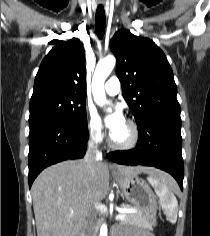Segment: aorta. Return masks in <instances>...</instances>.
Returning <instances> with one entry per match:
<instances>
[{
	"instance_id": "aorta-1",
	"label": "aorta",
	"mask_w": 210,
	"mask_h": 236,
	"mask_svg": "<svg viewBox=\"0 0 210 236\" xmlns=\"http://www.w3.org/2000/svg\"><path fill=\"white\" fill-rule=\"evenodd\" d=\"M115 64L116 58L113 55H108L104 59L100 60L96 66L92 80V92L94 100L99 106H103V104L106 102L104 82L112 72ZM102 233H105L107 236L106 224L102 225L100 236H102Z\"/></svg>"
}]
</instances>
